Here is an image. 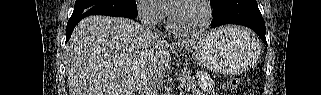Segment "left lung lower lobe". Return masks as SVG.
Instances as JSON below:
<instances>
[{"instance_id":"0a47b994","label":"left lung lower lobe","mask_w":321,"mask_h":95,"mask_svg":"<svg viewBox=\"0 0 321 95\" xmlns=\"http://www.w3.org/2000/svg\"><path fill=\"white\" fill-rule=\"evenodd\" d=\"M212 8V27L224 24L243 25L255 31L267 45L265 23L256 0H221Z\"/></svg>"}]
</instances>
